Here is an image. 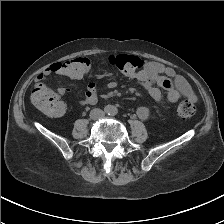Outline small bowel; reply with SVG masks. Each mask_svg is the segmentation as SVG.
<instances>
[{
  "label": "small bowel",
  "mask_w": 224,
  "mask_h": 224,
  "mask_svg": "<svg viewBox=\"0 0 224 224\" xmlns=\"http://www.w3.org/2000/svg\"><path fill=\"white\" fill-rule=\"evenodd\" d=\"M62 62H54L46 66L36 77L37 85H44L46 79L52 75H63L61 69ZM128 78L141 85L148 94L158 103L162 102V90L167 93V99L170 102H177L180 98L185 97L195 102L197 97L193 92L187 80L176 73V71L160 62L147 61L141 69L128 75ZM118 86V80L109 81L103 89L112 90ZM69 92L66 87H59L58 94L65 95ZM98 88L94 83H89L85 96L78 100V104L82 106L93 105L97 101ZM137 116L141 120H148L150 117V109L145 106L138 107Z\"/></svg>",
  "instance_id": "obj_1"
}]
</instances>
